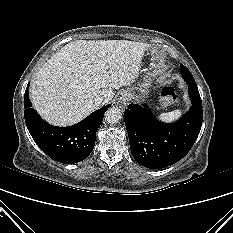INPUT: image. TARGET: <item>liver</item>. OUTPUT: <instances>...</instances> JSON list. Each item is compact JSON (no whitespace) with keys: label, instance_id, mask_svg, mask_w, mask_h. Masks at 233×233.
<instances>
[{"label":"liver","instance_id":"obj_1","mask_svg":"<svg viewBox=\"0 0 233 233\" xmlns=\"http://www.w3.org/2000/svg\"><path fill=\"white\" fill-rule=\"evenodd\" d=\"M149 45L128 40H76L41 67L30 87L39 115L52 125L78 123L97 107L94 99L112 100L114 90L139 76Z\"/></svg>","mask_w":233,"mask_h":233}]
</instances>
